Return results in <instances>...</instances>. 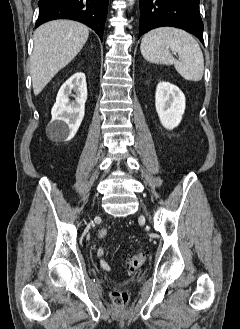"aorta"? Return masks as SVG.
Segmentation results:
<instances>
[{
  "mask_svg": "<svg viewBox=\"0 0 240 329\" xmlns=\"http://www.w3.org/2000/svg\"><path fill=\"white\" fill-rule=\"evenodd\" d=\"M134 1H135V0H128L129 5L132 6V5L134 4Z\"/></svg>",
  "mask_w": 240,
  "mask_h": 329,
  "instance_id": "1",
  "label": "aorta"
}]
</instances>
